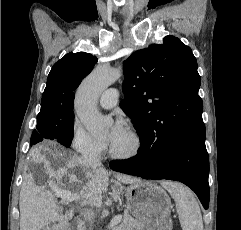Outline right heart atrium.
Masks as SVG:
<instances>
[{
  "mask_svg": "<svg viewBox=\"0 0 241 230\" xmlns=\"http://www.w3.org/2000/svg\"><path fill=\"white\" fill-rule=\"evenodd\" d=\"M71 146L76 152L87 157H97L105 150V144L94 138L78 121H75L72 128Z\"/></svg>",
  "mask_w": 241,
  "mask_h": 230,
  "instance_id": "obj_1",
  "label": "right heart atrium"
}]
</instances>
